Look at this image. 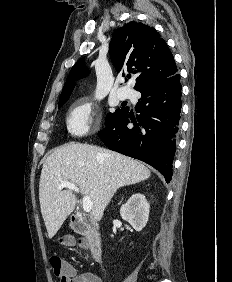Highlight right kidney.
<instances>
[{
	"instance_id": "1",
	"label": "right kidney",
	"mask_w": 232,
	"mask_h": 282,
	"mask_svg": "<svg viewBox=\"0 0 232 282\" xmlns=\"http://www.w3.org/2000/svg\"><path fill=\"white\" fill-rule=\"evenodd\" d=\"M149 203L143 194L132 195L128 201L121 206L120 215L128 221L137 231H141L147 224L149 217Z\"/></svg>"
}]
</instances>
